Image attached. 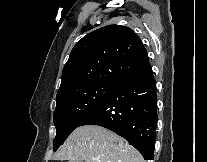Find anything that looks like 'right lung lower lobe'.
Segmentation results:
<instances>
[{
	"mask_svg": "<svg viewBox=\"0 0 207 162\" xmlns=\"http://www.w3.org/2000/svg\"><path fill=\"white\" fill-rule=\"evenodd\" d=\"M156 98V81L148 64L120 79L79 126L105 127L125 138L145 160H153Z\"/></svg>",
	"mask_w": 207,
	"mask_h": 162,
	"instance_id": "right-lung-lower-lobe-1",
	"label": "right lung lower lobe"
}]
</instances>
